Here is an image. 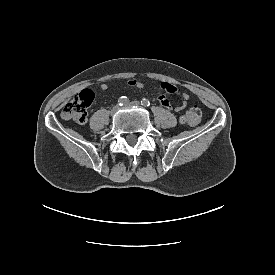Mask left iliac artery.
Segmentation results:
<instances>
[{"mask_svg":"<svg viewBox=\"0 0 275 275\" xmlns=\"http://www.w3.org/2000/svg\"><path fill=\"white\" fill-rule=\"evenodd\" d=\"M141 104H142L143 106H145V107L150 106V102H149V100H147V99H142V100H141Z\"/></svg>","mask_w":275,"mask_h":275,"instance_id":"44dca946","label":"left iliac artery"}]
</instances>
